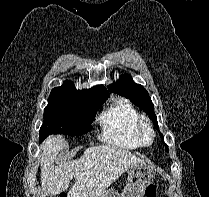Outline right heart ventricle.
<instances>
[{"instance_id": "1", "label": "right heart ventricle", "mask_w": 209, "mask_h": 197, "mask_svg": "<svg viewBox=\"0 0 209 197\" xmlns=\"http://www.w3.org/2000/svg\"><path fill=\"white\" fill-rule=\"evenodd\" d=\"M138 120L139 114L128 100H115L98 118L103 129V140L125 149L138 148L140 146L136 137Z\"/></svg>"}]
</instances>
